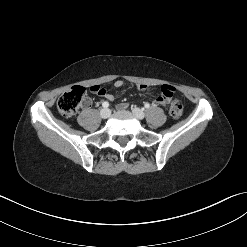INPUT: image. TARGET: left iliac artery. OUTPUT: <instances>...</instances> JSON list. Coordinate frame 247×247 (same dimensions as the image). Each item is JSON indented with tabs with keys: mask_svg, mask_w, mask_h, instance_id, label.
<instances>
[{
	"mask_svg": "<svg viewBox=\"0 0 247 247\" xmlns=\"http://www.w3.org/2000/svg\"><path fill=\"white\" fill-rule=\"evenodd\" d=\"M144 106H145V108L148 109L150 107V104L149 103H146Z\"/></svg>",
	"mask_w": 247,
	"mask_h": 247,
	"instance_id": "left-iliac-artery-1",
	"label": "left iliac artery"
}]
</instances>
